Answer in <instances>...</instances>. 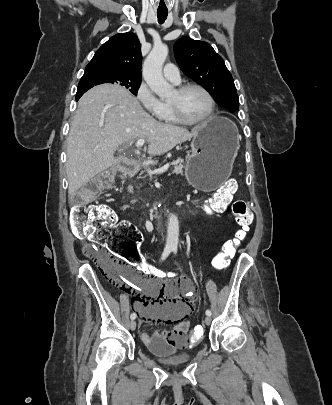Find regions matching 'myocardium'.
I'll use <instances>...</instances> for the list:
<instances>
[{
  "mask_svg": "<svg viewBox=\"0 0 332 405\" xmlns=\"http://www.w3.org/2000/svg\"><path fill=\"white\" fill-rule=\"evenodd\" d=\"M190 89H198L201 92H203L206 95V97L208 98L210 108H209L208 113L204 117L197 119V120L187 119L183 115L181 108L177 102H169L170 108L172 110L174 117L176 118V120L179 123L186 124V125L204 124L207 121H209L215 113V108H216L215 99L207 88H205L203 85L198 84V83H186V84L180 85L179 87H177L176 92L179 95H182L183 93H185L186 91H188Z\"/></svg>",
  "mask_w": 332,
  "mask_h": 405,
  "instance_id": "myocardium-1",
  "label": "myocardium"
}]
</instances>
